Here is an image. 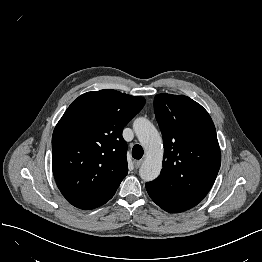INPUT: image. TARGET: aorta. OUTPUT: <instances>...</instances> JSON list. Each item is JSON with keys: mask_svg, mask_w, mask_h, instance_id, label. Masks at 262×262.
Masks as SVG:
<instances>
[{"mask_svg": "<svg viewBox=\"0 0 262 262\" xmlns=\"http://www.w3.org/2000/svg\"><path fill=\"white\" fill-rule=\"evenodd\" d=\"M133 130L146 153L139 175L144 181L155 180L162 169V139L154 125L143 117L134 121Z\"/></svg>", "mask_w": 262, "mask_h": 262, "instance_id": "obj_1", "label": "aorta"}]
</instances>
